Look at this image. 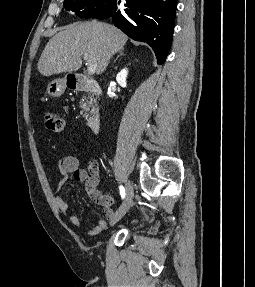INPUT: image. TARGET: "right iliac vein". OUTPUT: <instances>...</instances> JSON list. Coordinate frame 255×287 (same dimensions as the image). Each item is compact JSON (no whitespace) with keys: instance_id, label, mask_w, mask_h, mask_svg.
Masks as SVG:
<instances>
[{"instance_id":"right-iliac-vein-1","label":"right iliac vein","mask_w":255,"mask_h":287,"mask_svg":"<svg viewBox=\"0 0 255 287\" xmlns=\"http://www.w3.org/2000/svg\"><path fill=\"white\" fill-rule=\"evenodd\" d=\"M134 197V190L133 186L130 182L126 185V196L122 203V205L119 207V209L115 212V214L112 216L110 220V225L113 226L116 224L130 209Z\"/></svg>"}]
</instances>
